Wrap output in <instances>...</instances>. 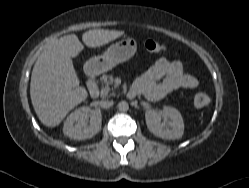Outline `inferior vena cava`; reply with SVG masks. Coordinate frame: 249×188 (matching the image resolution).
Instances as JSON below:
<instances>
[{
  "mask_svg": "<svg viewBox=\"0 0 249 188\" xmlns=\"http://www.w3.org/2000/svg\"><path fill=\"white\" fill-rule=\"evenodd\" d=\"M102 104L105 106V107H111L113 106V101H109V100H106V101H103Z\"/></svg>",
  "mask_w": 249,
  "mask_h": 188,
  "instance_id": "602c4592",
  "label": "inferior vena cava"
}]
</instances>
